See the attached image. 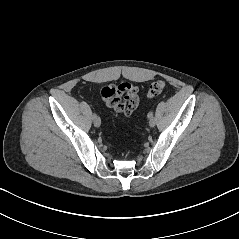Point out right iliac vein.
Masks as SVG:
<instances>
[{
    "label": "right iliac vein",
    "instance_id": "obj_1",
    "mask_svg": "<svg viewBox=\"0 0 239 239\" xmlns=\"http://www.w3.org/2000/svg\"><path fill=\"white\" fill-rule=\"evenodd\" d=\"M93 123L96 127H99L101 125V120L100 118L97 116L96 118L93 119Z\"/></svg>",
    "mask_w": 239,
    "mask_h": 239
}]
</instances>
